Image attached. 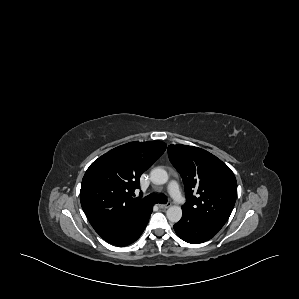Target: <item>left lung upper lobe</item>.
Segmentation results:
<instances>
[{
    "label": "left lung upper lobe",
    "instance_id": "5c2ea615",
    "mask_svg": "<svg viewBox=\"0 0 299 299\" xmlns=\"http://www.w3.org/2000/svg\"><path fill=\"white\" fill-rule=\"evenodd\" d=\"M168 156L184 182L187 202L182 211L219 231L235 205L234 173L216 156L198 147L169 145Z\"/></svg>",
    "mask_w": 299,
    "mask_h": 299
}]
</instances>
